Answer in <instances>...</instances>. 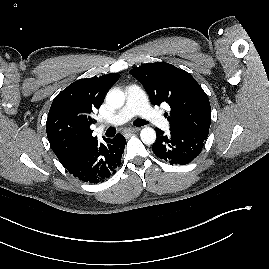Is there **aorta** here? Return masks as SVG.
I'll list each match as a JSON object with an SVG mask.
<instances>
[{
	"mask_svg": "<svg viewBox=\"0 0 269 269\" xmlns=\"http://www.w3.org/2000/svg\"><path fill=\"white\" fill-rule=\"evenodd\" d=\"M125 102V95L119 89H112L106 95V103L113 108H120ZM141 140L144 144H153L156 140V132L151 127H145L140 132Z\"/></svg>",
	"mask_w": 269,
	"mask_h": 269,
	"instance_id": "obj_1",
	"label": "aorta"
}]
</instances>
